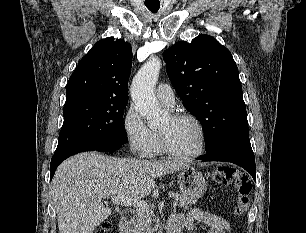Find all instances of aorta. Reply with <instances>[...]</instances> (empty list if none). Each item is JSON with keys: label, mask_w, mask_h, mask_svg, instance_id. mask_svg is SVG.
I'll return each instance as SVG.
<instances>
[{"label": "aorta", "mask_w": 306, "mask_h": 233, "mask_svg": "<svg viewBox=\"0 0 306 233\" xmlns=\"http://www.w3.org/2000/svg\"><path fill=\"white\" fill-rule=\"evenodd\" d=\"M161 61L151 57L137 72L131 85V97L137 111L147 119L151 128L161 125L166 113L159 107L154 94V87L158 81Z\"/></svg>", "instance_id": "1"}]
</instances>
